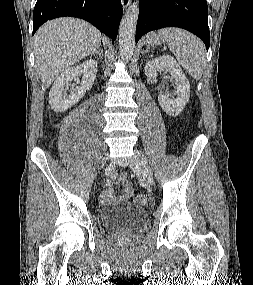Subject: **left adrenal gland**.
Wrapping results in <instances>:
<instances>
[{
	"mask_svg": "<svg viewBox=\"0 0 253 285\" xmlns=\"http://www.w3.org/2000/svg\"><path fill=\"white\" fill-rule=\"evenodd\" d=\"M149 51V48H147L145 51L142 52V54L147 53Z\"/></svg>",
	"mask_w": 253,
	"mask_h": 285,
	"instance_id": "a2214340",
	"label": "left adrenal gland"
}]
</instances>
